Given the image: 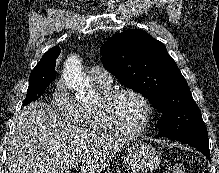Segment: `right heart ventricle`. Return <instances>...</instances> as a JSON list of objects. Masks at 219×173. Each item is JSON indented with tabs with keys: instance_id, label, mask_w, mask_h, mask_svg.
<instances>
[{
	"instance_id": "e07e8e85",
	"label": "right heart ventricle",
	"mask_w": 219,
	"mask_h": 173,
	"mask_svg": "<svg viewBox=\"0 0 219 173\" xmlns=\"http://www.w3.org/2000/svg\"><path fill=\"white\" fill-rule=\"evenodd\" d=\"M93 85L100 98L112 90L111 84L103 85L93 83ZM76 122L82 127L93 132L111 133V130L107 127L101 117L99 103L90 106H78V118Z\"/></svg>"
}]
</instances>
